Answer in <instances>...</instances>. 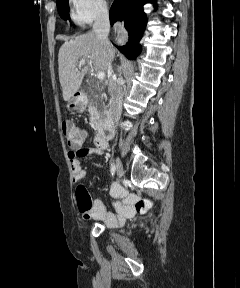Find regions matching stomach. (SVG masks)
Returning <instances> with one entry per match:
<instances>
[{
	"label": "stomach",
	"instance_id": "0dacf381",
	"mask_svg": "<svg viewBox=\"0 0 240 288\" xmlns=\"http://www.w3.org/2000/svg\"><path fill=\"white\" fill-rule=\"evenodd\" d=\"M81 106H82V104L80 103V101L76 97L72 98L67 104V108L70 110L78 109Z\"/></svg>",
	"mask_w": 240,
	"mask_h": 288
}]
</instances>
